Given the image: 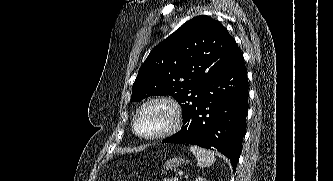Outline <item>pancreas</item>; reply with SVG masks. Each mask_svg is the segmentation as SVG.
I'll use <instances>...</instances> for the list:
<instances>
[{
	"instance_id": "cf45deb5",
	"label": "pancreas",
	"mask_w": 333,
	"mask_h": 181,
	"mask_svg": "<svg viewBox=\"0 0 333 181\" xmlns=\"http://www.w3.org/2000/svg\"><path fill=\"white\" fill-rule=\"evenodd\" d=\"M163 181H173L172 179L166 178Z\"/></svg>"
}]
</instances>
